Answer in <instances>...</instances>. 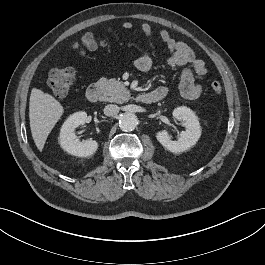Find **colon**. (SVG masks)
Masks as SVG:
<instances>
[{
  "label": "colon",
  "mask_w": 265,
  "mask_h": 265,
  "mask_svg": "<svg viewBox=\"0 0 265 265\" xmlns=\"http://www.w3.org/2000/svg\"><path fill=\"white\" fill-rule=\"evenodd\" d=\"M99 42L93 34H85L79 43L74 45L77 50H91L98 46ZM75 80V71L71 67H56L49 72L48 85L55 96L66 97ZM213 96L221 95L223 86L219 81H214L209 87Z\"/></svg>",
  "instance_id": "colon-1"
}]
</instances>
